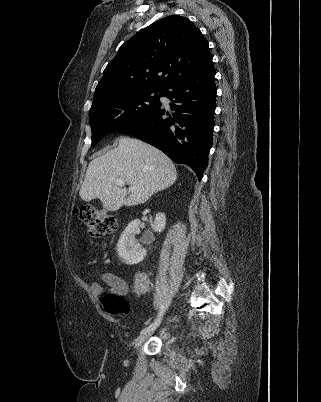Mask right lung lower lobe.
I'll return each instance as SVG.
<instances>
[{"mask_svg": "<svg viewBox=\"0 0 321 402\" xmlns=\"http://www.w3.org/2000/svg\"><path fill=\"white\" fill-rule=\"evenodd\" d=\"M215 74L212 63L176 79L163 92L172 101V115L160 106L118 130L157 147L177 163L189 165L200 181L212 146Z\"/></svg>", "mask_w": 321, "mask_h": 402, "instance_id": "obj_1", "label": "right lung lower lobe"}]
</instances>
